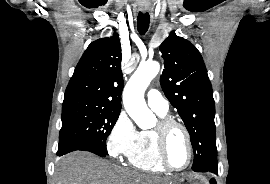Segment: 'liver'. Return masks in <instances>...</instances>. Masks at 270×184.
Segmentation results:
<instances>
[{
  "label": "liver",
  "instance_id": "liver-1",
  "mask_svg": "<svg viewBox=\"0 0 270 184\" xmlns=\"http://www.w3.org/2000/svg\"><path fill=\"white\" fill-rule=\"evenodd\" d=\"M54 184H167V181L118 167L88 152L75 151L58 160Z\"/></svg>",
  "mask_w": 270,
  "mask_h": 184
}]
</instances>
